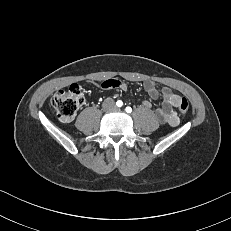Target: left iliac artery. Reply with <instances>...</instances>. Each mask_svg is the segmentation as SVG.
<instances>
[{
    "instance_id": "1",
    "label": "left iliac artery",
    "mask_w": 231,
    "mask_h": 231,
    "mask_svg": "<svg viewBox=\"0 0 231 231\" xmlns=\"http://www.w3.org/2000/svg\"><path fill=\"white\" fill-rule=\"evenodd\" d=\"M125 110H126V112H127V113H131V112H132L131 107H126V109H125Z\"/></svg>"
}]
</instances>
